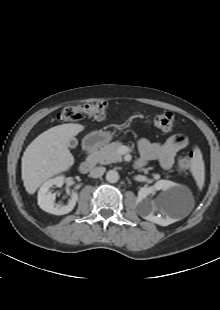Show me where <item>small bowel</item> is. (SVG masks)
Segmentation results:
<instances>
[{"instance_id":"obj_1","label":"small bowel","mask_w":220,"mask_h":310,"mask_svg":"<svg viewBox=\"0 0 220 310\" xmlns=\"http://www.w3.org/2000/svg\"><path fill=\"white\" fill-rule=\"evenodd\" d=\"M188 145L189 139L183 134L173 135L164 143H155L143 138L138 143L141 154L138 164L143 165L150 160H159L164 169H170L176 154Z\"/></svg>"}]
</instances>
